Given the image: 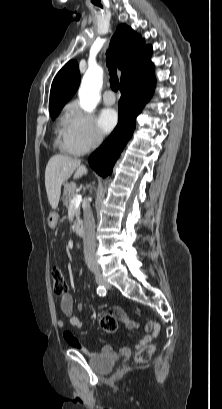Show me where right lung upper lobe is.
Instances as JSON below:
<instances>
[{
  "instance_id": "1",
  "label": "right lung upper lobe",
  "mask_w": 222,
  "mask_h": 409,
  "mask_svg": "<svg viewBox=\"0 0 222 409\" xmlns=\"http://www.w3.org/2000/svg\"><path fill=\"white\" fill-rule=\"evenodd\" d=\"M110 48L113 51L118 68L122 71L120 85L137 76L154 71L150 60L152 47L145 46L142 37L126 24H120L113 35ZM80 83L77 61H69L53 80L50 92V111L62 109L75 94Z\"/></svg>"
}]
</instances>
